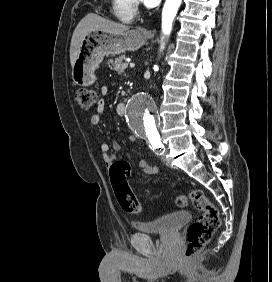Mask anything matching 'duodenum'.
<instances>
[{
    "label": "duodenum",
    "instance_id": "410a0bca",
    "mask_svg": "<svg viewBox=\"0 0 272 282\" xmlns=\"http://www.w3.org/2000/svg\"><path fill=\"white\" fill-rule=\"evenodd\" d=\"M120 107H121V108H124V107H126V104L121 103V104H120Z\"/></svg>",
    "mask_w": 272,
    "mask_h": 282
}]
</instances>
